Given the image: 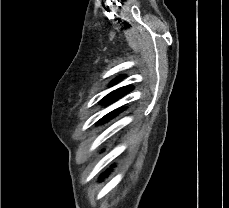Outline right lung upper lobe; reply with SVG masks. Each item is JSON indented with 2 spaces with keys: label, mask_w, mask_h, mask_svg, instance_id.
<instances>
[{
  "label": "right lung upper lobe",
  "mask_w": 229,
  "mask_h": 208,
  "mask_svg": "<svg viewBox=\"0 0 229 208\" xmlns=\"http://www.w3.org/2000/svg\"><path fill=\"white\" fill-rule=\"evenodd\" d=\"M131 90H132L131 86H125V87L119 88V89L111 92L107 96H105L102 99V101H116L117 99L121 98L122 96H124L125 94L130 92Z\"/></svg>",
  "instance_id": "right-lung-upper-lobe-1"
}]
</instances>
